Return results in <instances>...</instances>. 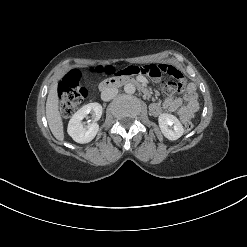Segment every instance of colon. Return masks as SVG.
Wrapping results in <instances>:
<instances>
[{
    "label": "colon",
    "instance_id": "colon-1",
    "mask_svg": "<svg viewBox=\"0 0 247 247\" xmlns=\"http://www.w3.org/2000/svg\"><path fill=\"white\" fill-rule=\"evenodd\" d=\"M125 67L114 68L112 66L97 67V73L116 74ZM59 107L60 112L64 117L71 116L77 108L84 102L87 97V88L85 85V76L79 70H71L65 75L58 87ZM194 129L192 122L185 124L186 132H191Z\"/></svg>",
    "mask_w": 247,
    "mask_h": 247
}]
</instances>
